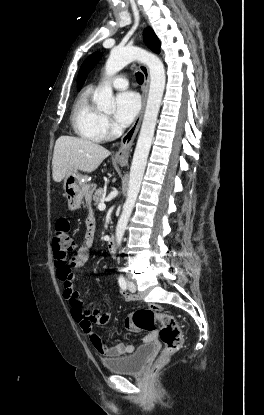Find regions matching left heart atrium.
<instances>
[{
	"mask_svg": "<svg viewBox=\"0 0 264 415\" xmlns=\"http://www.w3.org/2000/svg\"><path fill=\"white\" fill-rule=\"evenodd\" d=\"M114 120L120 127L129 125L139 110V99L131 91L121 92L115 98Z\"/></svg>",
	"mask_w": 264,
	"mask_h": 415,
	"instance_id": "obj_1",
	"label": "left heart atrium"
}]
</instances>
